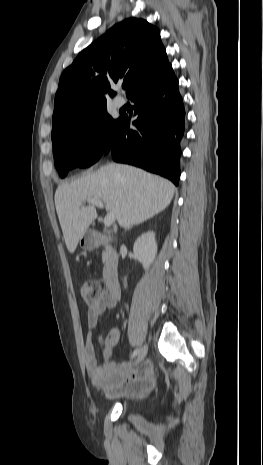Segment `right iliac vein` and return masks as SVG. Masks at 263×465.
I'll return each mask as SVG.
<instances>
[{"mask_svg":"<svg viewBox=\"0 0 263 465\" xmlns=\"http://www.w3.org/2000/svg\"><path fill=\"white\" fill-rule=\"evenodd\" d=\"M147 351H148V345L145 344L141 350L139 351L138 353V356L136 358V361H135V365H138L140 362H142L147 354Z\"/></svg>","mask_w":263,"mask_h":465,"instance_id":"right-iliac-vein-1","label":"right iliac vein"}]
</instances>
